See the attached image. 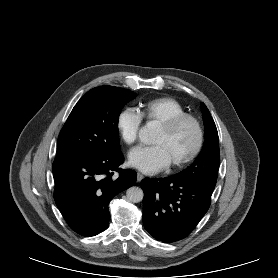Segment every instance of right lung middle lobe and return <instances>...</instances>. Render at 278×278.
I'll return each mask as SVG.
<instances>
[{"mask_svg": "<svg viewBox=\"0 0 278 278\" xmlns=\"http://www.w3.org/2000/svg\"><path fill=\"white\" fill-rule=\"evenodd\" d=\"M135 96L130 90L112 86L87 92L74 106L59 134L55 161L119 151V115Z\"/></svg>", "mask_w": 278, "mask_h": 278, "instance_id": "1", "label": "right lung middle lobe"}]
</instances>
